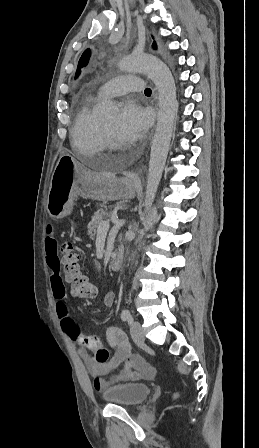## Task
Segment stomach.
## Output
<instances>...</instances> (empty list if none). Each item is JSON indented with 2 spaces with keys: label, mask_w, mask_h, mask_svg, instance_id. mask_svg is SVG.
<instances>
[{
  "label": "stomach",
  "mask_w": 259,
  "mask_h": 448,
  "mask_svg": "<svg viewBox=\"0 0 259 448\" xmlns=\"http://www.w3.org/2000/svg\"><path fill=\"white\" fill-rule=\"evenodd\" d=\"M76 164L72 156L63 154L54 168L46 204L51 218H64L68 212L67 204L75 198ZM69 212L73 213L74 209L70 208Z\"/></svg>",
  "instance_id": "obj_1"
}]
</instances>
